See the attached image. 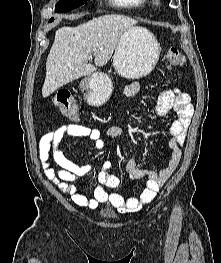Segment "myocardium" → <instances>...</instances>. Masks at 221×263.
I'll return each instance as SVG.
<instances>
[{
  "mask_svg": "<svg viewBox=\"0 0 221 263\" xmlns=\"http://www.w3.org/2000/svg\"><path fill=\"white\" fill-rule=\"evenodd\" d=\"M156 5L159 4V0H153Z\"/></svg>",
  "mask_w": 221,
  "mask_h": 263,
  "instance_id": "myocardium-1",
  "label": "myocardium"
}]
</instances>
